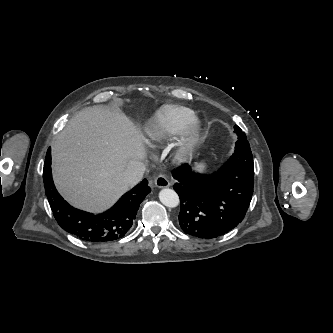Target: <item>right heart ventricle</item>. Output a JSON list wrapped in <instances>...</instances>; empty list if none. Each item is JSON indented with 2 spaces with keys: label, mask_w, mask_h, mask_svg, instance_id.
Segmentation results:
<instances>
[{
  "label": "right heart ventricle",
  "mask_w": 333,
  "mask_h": 333,
  "mask_svg": "<svg viewBox=\"0 0 333 333\" xmlns=\"http://www.w3.org/2000/svg\"><path fill=\"white\" fill-rule=\"evenodd\" d=\"M196 117L194 110L184 106H168L147 128L148 138L155 143L177 136Z\"/></svg>",
  "instance_id": "obj_1"
}]
</instances>
